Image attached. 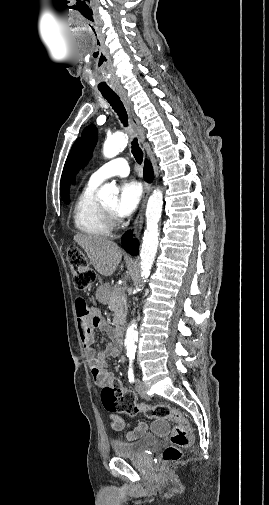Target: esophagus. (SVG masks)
<instances>
[{"label":"esophagus","mask_w":269,"mask_h":505,"mask_svg":"<svg viewBox=\"0 0 269 505\" xmlns=\"http://www.w3.org/2000/svg\"><path fill=\"white\" fill-rule=\"evenodd\" d=\"M116 92L119 95V97L121 98V100L126 108V111L129 116V120H130V122L136 132L139 142L143 143L145 140L144 130H143V127H142L139 119L135 115L134 107H133V104H132L129 96L127 95V93L124 89H117ZM150 191H151V184L147 182V183H145V186H144L141 206H140L138 215H137V217L134 221V225H133V233L136 237L139 236L141 229H142L145 207H146V203H147V199L150 194Z\"/></svg>","instance_id":"1"}]
</instances>
